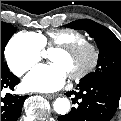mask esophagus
Here are the masks:
<instances>
[{"mask_svg":"<svg viewBox=\"0 0 121 121\" xmlns=\"http://www.w3.org/2000/svg\"><path fill=\"white\" fill-rule=\"evenodd\" d=\"M58 96V94H45L44 97L47 99H54Z\"/></svg>","mask_w":121,"mask_h":121,"instance_id":"esophagus-1","label":"esophagus"}]
</instances>
